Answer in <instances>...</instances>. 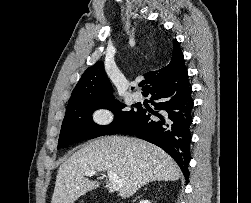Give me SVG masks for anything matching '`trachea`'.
I'll return each mask as SVG.
<instances>
[{
	"label": "trachea",
	"instance_id": "3493384b",
	"mask_svg": "<svg viewBox=\"0 0 251 203\" xmlns=\"http://www.w3.org/2000/svg\"><path fill=\"white\" fill-rule=\"evenodd\" d=\"M144 85H145V81H142V82L139 83L140 87H143Z\"/></svg>",
	"mask_w": 251,
	"mask_h": 203
}]
</instances>
